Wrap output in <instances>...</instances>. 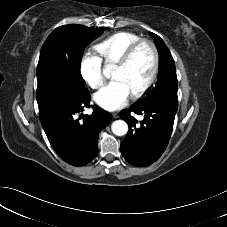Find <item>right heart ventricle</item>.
Wrapping results in <instances>:
<instances>
[{"label":"right heart ventricle","mask_w":227,"mask_h":227,"mask_svg":"<svg viewBox=\"0 0 227 227\" xmlns=\"http://www.w3.org/2000/svg\"><path fill=\"white\" fill-rule=\"evenodd\" d=\"M139 39L140 36L135 33L120 31L96 44L95 49L104 63H116L127 48Z\"/></svg>","instance_id":"right-heart-ventricle-1"}]
</instances>
